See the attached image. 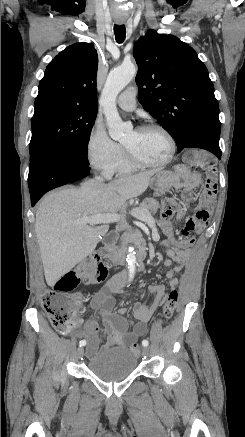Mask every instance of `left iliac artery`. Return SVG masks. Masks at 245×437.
<instances>
[{
  "instance_id": "1",
  "label": "left iliac artery",
  "mask_w": 245,
  "mask_h": 437,
  "mask_svg": "<svg viewBox=\"0 0 245 437\" xmlns=\"http://www.w3.org/2000/svg\"><path fill=\"white\" fill-rule=\"evenodd\" d=\"M148 344H149V342H148L147 340H143V341H142V345H143L144 347H147Z\"/></svg>"
}]
</instances>
